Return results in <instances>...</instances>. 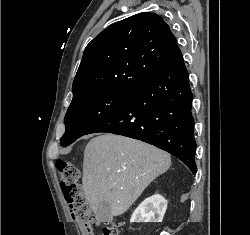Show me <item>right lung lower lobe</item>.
<instances>
[{
    "mask_svg": "<svg viewBox=\"0 0 250 235\" xmlns=\"http://www.w3.org/2000/svg\"><path fill=\"white\" fill-rule=\"evenodd\" d=\"M193 94L179 48L169 65L139 86L114 114L87 134L107 132L144 141L161 148L197 172Z\"/></svg>",
    "mask_w": 250,
    "mask_h": 235,
    "instance_id": "1",
    "label": "right lung lower lobe"
}]
</instances>
